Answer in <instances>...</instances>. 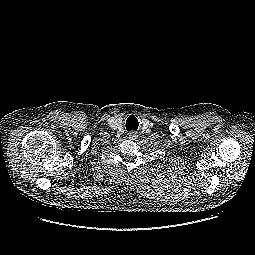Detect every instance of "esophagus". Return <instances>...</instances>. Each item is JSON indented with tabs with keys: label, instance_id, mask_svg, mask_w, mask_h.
<instances>
[{
	"label": "esophagus",
	"instance_id": "obj_1",
	"mask_svg": "<svg viewBox=\"0 0 255 255\" xmlns=\"http://www.w3.org/2000/svg\"><path fill=\"white\" fill-rule=\"evenodd\" d=\"M137 138H138V133L137 132H130L129 133V139L136 140Z\"/></svg>",
	"mask_w": 255,
	"mask_h": 255
}]
</instances>
